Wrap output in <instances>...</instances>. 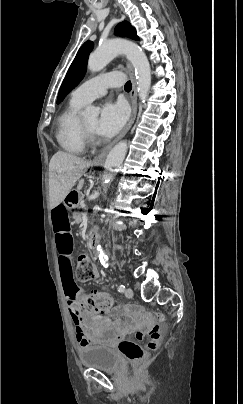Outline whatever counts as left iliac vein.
Masks as SVG:
<instances>
[{"label":"left iliac vein","mask_w":243,"mask_h":404,"mask_svg":"<svg viewBox=\"0 0 243 404\" xmlns=\"http://www.w3.org/2000/svg\"><path fill=\"white\" fill-rule=\"evenodd\" d=\"M125 296L128 297V298H131L133 296V291H132L131 288H127L125 290Z\"/></svg>","instance_id":"left-iliac-vein-1"}]
</instances>
